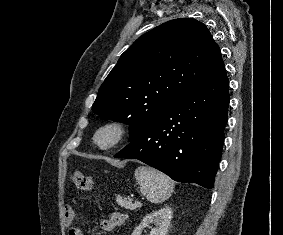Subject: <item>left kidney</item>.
<instances>
[{
    "instance_id": "left-kidney-1",
    "label": "left kidney",
    "mask_w": 283,
    "mask_h": 235,
    "mask_svg": "<svg viewBox=\"0 0 283 235\" xmlns=\"http://www.w3.org/2000/svg\"><path fill=\"white\" fill-rule=\"evenodd\" d=\"M171 219L172 210L170 207L166 206L158 211L147 214L131 235H141L142 230L151 223H153L155 227L151 229L149 235H166Z\"/></svg>"
}]
</instances>
